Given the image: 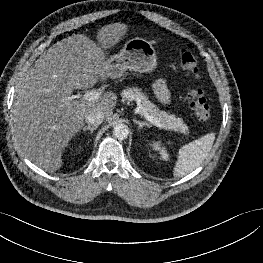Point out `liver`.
<instances>
[{"instance_id": "6515ba94", "label": "liver", "mask_w": 263, "mask_h": 263, "mask_svg": "<svg viewBox=\"0 0 263 263\" xmlns=\"http://www.w3.org/2000/svg\"><path fill=\"white\" fill-rule=\"evenodd\" d=\"M126 31L123 23L103 26L97 33L100 47L83 34L64 38L36 60L18 85L11 109L14 141L39 168L55 172L62 166L63 151L83 127L87 113L97 109L111 119L115 93L106 92L95 101L74 100L71 94L111 78L102 49L117 44Z\"/></svg>"}]
</instances>
